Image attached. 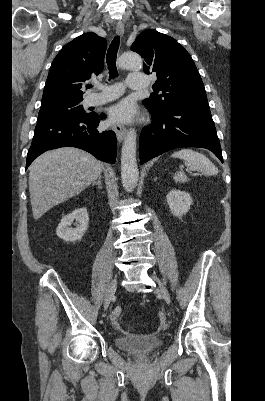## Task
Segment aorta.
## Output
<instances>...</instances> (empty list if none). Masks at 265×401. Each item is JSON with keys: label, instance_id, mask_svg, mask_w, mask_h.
I'll return each mask as SVG.
<instances>
[{"label": "aorta", "instance_id": "762f6f07", "mask_svg": "<svg viewBox=\"0 0 265 401\" xmlns=\"http://www.w3.org/2000/svg\"><path fill=\"white\" fill-rule=\"evenodd\" d=\"M120 58L121 66L124 68H141L142 66V58L135 52H124ZM136 136L135 128H129L121 150V180L128 192H132L133 188H136L139 178L136 160Z\"/></svg>", "mask_w": 265, "mask_h": 401}]
</instances>
